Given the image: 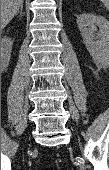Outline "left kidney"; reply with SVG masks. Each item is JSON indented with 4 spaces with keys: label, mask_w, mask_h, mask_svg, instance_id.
I'll use <instances>...</instances> for the list:
<instances>
[{
    "label": "left kidney",
    "mask_w": 109,
    "mask_h": 170,
    "mask_svg": "<svg viewBox=\"0 0 109 170\" xmlns=\"http://www.w3.org/2000/svg\"><path fill=\"white\" fill-rule=\"evenodd\" d=\"M77 24L94 62L98 66L105 67L109 62V21L102 16L83 13L77 16Z\"/></svg>",
    "instance_id": "1"
}]
</instances>
